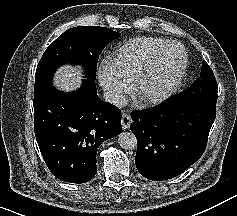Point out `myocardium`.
Segmentation results:
<instances>
[{
    "label": "myocardium",
    "instance_id": "1",
    "mask_svg": "<svg viewBox=\"0 0 237 216\" xmlns=\"http://www.w3.org/2000/svg\"><path fill=\"white\" fill-rule=\"evenodd\" d=\"M177 49L181 53L182 59H183L181 69L177 75V78L159 94L155 96H142L140 94L142 81L144 77L151 72L152 68L157 62V59L169 56L170 54L175 53ZM186 66H187V52L181 45H174V46L163 45L160 49H158V51L153 55V57L150 59L147 65L145 67H142V71L138 74V76L135 79V82L132 88L131 98L132 100L136 101L137 107L143 109L150 105L159 104L165 101L166 99H168L169 97H171L179 89V87L182 84Z\"/></svg>",
    "mask_w": 237,
    "mask_h": 216
}]
</instances>
